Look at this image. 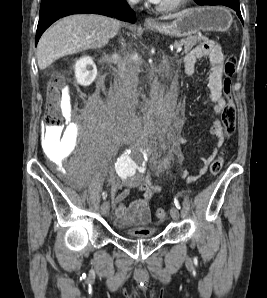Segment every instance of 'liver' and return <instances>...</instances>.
Masks as SVG:
<instances>
[{
  "label": "liver",
  "mask_w": 267,
  "mask_h": 298,
  "mask_svg": "<svg viewBox=\"0 0 267 298\" xmlns=\"http://www.w3.org/2000/svg\"><path fill=\"white\" fill-rule=\"evenodd\" d=\"M180 15L181 12L161 19H173ZM119 26L115 19L94 14L71 15L61 19L38 42L39 68L46 69L57 59L67 55L104 47L117 34ZM137 35H141V30H138Z\"/></svg>",
  "instance_id": "6515ba94"
}]
</instances>
